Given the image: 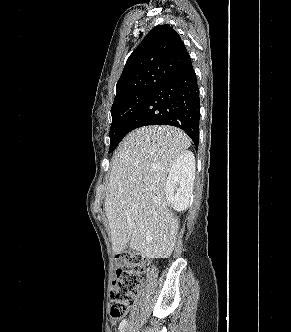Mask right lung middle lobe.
<instances>
[{"label":"right lung middle lobe","mask_w":291,"mask_h":332,"mask_svg":"<svg viewBox=\"0 0 291 332\" xmlns=\"http://www.w3.org/2000/svg\"><path fill=\"white\" fill-rule=\"evenodd\" d=\"M161 81L153 82L149 88L140 90L117 100L111 108L112 124L109 132L110 137V148L111 153L124 136L128 133V126L133 116L139 111L143 103L151 95L152 91Z\"/></svg>","instance_id":"right-lung-middle-lobe-1"}]
</instances>
